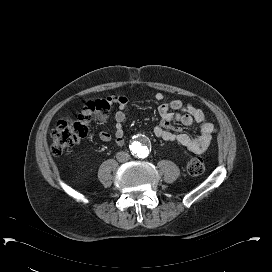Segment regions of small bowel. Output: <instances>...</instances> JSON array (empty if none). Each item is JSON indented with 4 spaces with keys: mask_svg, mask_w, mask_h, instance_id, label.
<instances>
[{
    "mask_svg": "<svg viewBox=\"0 0 272 272\" xmlns=\"http://www.w3.org/2000/svg\"><path fill=\"white\" fill-rule=\"evenodd\" d=\"M167 95L163 92L156 94V99L162 102L158 111L162 122L153 128V134L156 138L167 142H176L186 147L194 154L204 152L209 146L214 125L206 119L204 112L192 104L183 105L180 100L165 102ZM111 104H115L118 110L115 113L114 124V142L118 146L125 143L124 126L125 109L128 105V99L123 95H112L107 98ZM197 123L200 129L198 138L182 133L174 127V123H181L185 126H191ZM100 139L104 142H111L112 136L109 132L100 133Z\"/></svg>",
    "mask_w": 272,
    "mask_h": 272,
    "instance_id": "1",
    "label": "small bowel"
}]
</instances>
